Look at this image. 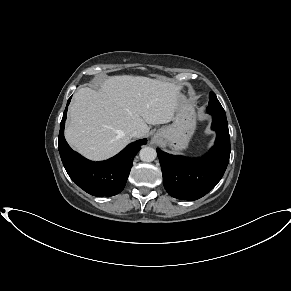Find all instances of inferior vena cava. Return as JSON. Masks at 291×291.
Returning <instances> with one entry per match:
<instances>
[{"label": "inferior vena cava", "mask_w": 291, "mask_h": 291, "mask_svg": "<svg viewBox=\"0 0 291 291\" xmlns=\"http://www.w3.org/2000/svg\"><path fill=\"white\" fill-rule=\"evenodd\" d=\"M130 136L131 137H141L142 136V132L140 130H133L131 133H130Z\"/></svg>", "instance_id": "inferior-vena-cava-1"}]
</instances>
